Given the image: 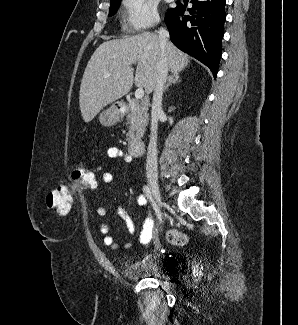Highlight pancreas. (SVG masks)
I'll list each match as a JSON object with an SVG mask.
<instances>
[{
	"label": "pancreas",
	"mask_w": 298,
	"mask_h": 325,
	"mask_svg": "<svg viewBox=\"0 0 298 325\" xmlns=\"http://www.w3.org/2000/svg\"><path fill=\"white\" fill-rule=\"evenodd\" d=\"M129 112L127 114V132H126V140H128L129 144H131L132 140H134L135 136L139 134V136H143L145 126L148 124V112L147 108L141 106L138 100H134L131 98L129 100Z\"/></svg>",
	"instance_id": "cf45deb5"
}]
</instances>
